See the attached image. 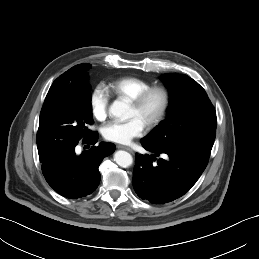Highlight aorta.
I'll return each instance as SVG.
<instances>
[{"label":"aorta","mask_w":259,"mask_h":259,"mask_svg":"<svg viewBox=\"0 0 259 259\" xmlns=\"http://www.w3.org/2000/svg\"><path fill=\"white\" fill-rule=\"evenodd\" d=\"M109 113L117 118L128 119L130 117L129 106L119 100H115L109 107ZM114 161L122 168H128L133 163L130 153L120 150L114 154Z\"/></svg>","instance_id":"1"}]
</instances>
